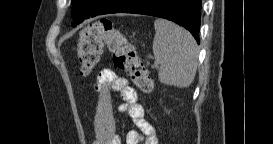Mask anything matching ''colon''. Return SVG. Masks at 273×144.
<instances>
[{
    "label": "colon",
    "instance_id": "1",
    "mask_svg": "<svg viewBox=\"0 0 273 144\" xmlns=\"http://www.w3.org/2000/svg\"><path fill=\"white\" fill-rule=\"evenodd\" d=\"M105 44L112 52L114 66L124 71L140 91L150 93L152 80L148 69L138 57L134 46L106 18L87 25L80 33L77 52L82 74L87 75L93 71Z\"/></svg>",
    "mask_w": 273,
    "mask_h": 144
}]
</instances>
